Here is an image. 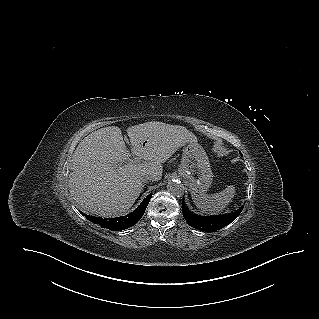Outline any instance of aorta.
I'll use <instances>...</instances> for the list:
<instances>
[{
	"label": "aorta",
	"mask_w": 319,
	"mask_h": 319,
	"mask_svg": "<svg viewBox=\"0 0 319 319\" xmlns=\"http://www.w3.org/2000/svg\"><path fill=\"white\" fill-rule=\"evenodd\" d=\"M167 189L172 195L177 197L182 196L185 192L184 185L178 180H173L169 182L167 185Z\"/></svg>",
	"instance_id": "aorta-1"
}]
</instances>
